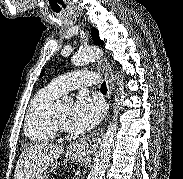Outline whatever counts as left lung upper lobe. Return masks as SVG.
I'll use <instances>...</instances> for the list:
<instances>
[{"instance_id": "obj_1", "label": "left lung upper lobe", "mask_w": 183, "mask_h": 179, "mask_svg": "<svg viewBox=\"0 0 183 179\" xmlns=\"http://www.w3.org/2000/svg\"><path fill=\"white\" fill-rule=\"evenodd\" d=\"M92 40L99 45H104V42L99 38V32L96 28H92ZM44 75V70L41 72L40 76Z\"/></svg>"}]
</instances>
